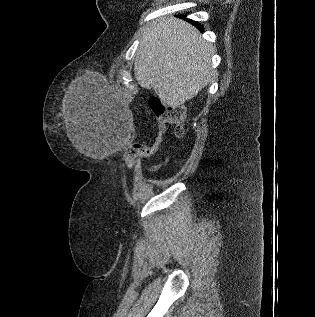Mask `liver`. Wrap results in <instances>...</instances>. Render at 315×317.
<instances>
[{"label": "liver", "instance_id": "1", "mask_svg": "<svg viewBox=\"0 0 315 317\" xmlns=\"http://www.w3.org/2000/svg\"><path fill=\"white\" fill-rule=\"evenodd\" d=\"M214 47L191 24L164 18L149 24L136 52L134 75L142 88L153 89L168 106L179 107L194 98L211 80ZM73 104V105H72ZM67 135L86 155L84 123L75 102L66 109Z\"/></svg>", "mask_w": 315, "mask_h": 317}]
</instances>
